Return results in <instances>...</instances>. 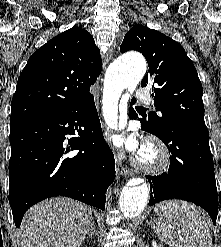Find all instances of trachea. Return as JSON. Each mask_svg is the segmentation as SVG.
I'll use <instances>...</instances> for the list:
<instances>
[{
	"instance_id": "obj_1",
	"label": "trachea",
	"mask_w": 221,
	"mask_h": 247,
	"mask_svg": "<svg viewBox=\"0 0 221 247\" xmlns=\"http://www.w3.org/2000/svg\"><path fill=\"white\" fill-rule=\"evenodd\" d=\"M136 109H145L143 106H137Z\"/></svg>"
}]
</instances>
